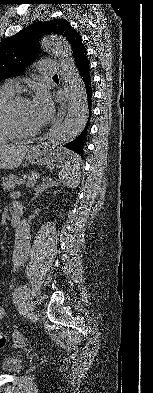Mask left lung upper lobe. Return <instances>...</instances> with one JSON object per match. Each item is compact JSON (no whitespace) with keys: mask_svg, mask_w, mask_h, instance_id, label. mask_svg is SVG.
<instances>
[{"mask_svg":"<svg viewBox=\"0 0 153 393\" xmlns=\"http://www.w3.org/2000/svg\"><path fill=\"white\" fill-rule=\"evenodd\" d=\"M49 33L60 34L69 41L75 61L79 54L86 51L81 36L64 19L33 23L0 42V81L22 73L29 62L37 57L39 38Z\"/></svg>","mask_w":153,"mask_h":393,"instance_id":"left-lung-upper-lobe-1","label":"left lung upper lobe"}]
</instances>
